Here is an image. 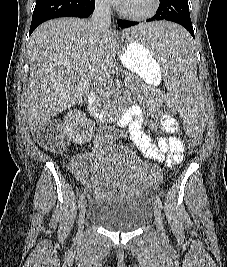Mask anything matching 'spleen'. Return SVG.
I'll return each instance as SVG.
<instances>
[{
  "label": "spleen",
  "mask_w": 227,
  "mask_h": 267,
  "mask_svg": "<svg viewBox=\"0 0 227 267\" xmlns=\"http://www.w3.org/2000/svg\"><path fill=\"white\" fill-rule=\"evenodd\" d=\"M125 43H140L152 51L153 59H163L166 63L163 81H167L170 94L176 98L179 106L178 115H204L203 97L196 68L194 43L187 29H182L180 22L172 19H153V22H140L132 25V33H125ZM185 125L186 137L201 140L206 134L203 116H181Z\"/></svg>",
  "instance_id": "obj_1"
}]
</instances>
